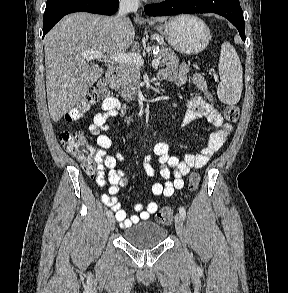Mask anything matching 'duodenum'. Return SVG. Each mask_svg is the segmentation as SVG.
Instances as JSON below:
<instances>
[{
    "mask_svg": "<svg viewBox=\"0 0 288 293\" xmlns=\"http://www.w3.org/2000/svg\"><path fill=\"white\" fill-rule=\"evenodd\" d=\"M118 77V69L116 66H110L106 72V81L110 86H114L116 84Z\"/></svg>",
    "mask_w": 288,
    "mask_h": 293,
    "instance_id": "duodenum-1",
    "label": "duodenum"
}]
</instances>
